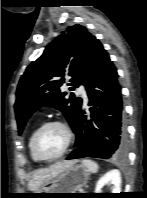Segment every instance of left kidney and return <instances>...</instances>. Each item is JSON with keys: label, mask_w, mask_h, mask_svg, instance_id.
<instances>
[{"label": "left kidney", "mask_w": 147, "mask_h": 198, "mask_svg": "<svg viewBox=\"0 0 147 198\" xmlns=\"http://www.w3.org/2000/svg\"><path fill=\"white\" fill-rule=\"evenodd\" d=\"M106 184H113L114 187L111 193L121 192V175L120 171L113 169L103 175L96 184L95 193H101L102 187Z\"/></svg>", "instance_id": "obj_1"}]
</instances>
